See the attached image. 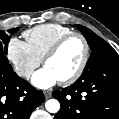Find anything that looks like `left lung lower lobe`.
<instances>
[{"label": "left lung lower lobe", "instance_id": "1", "mask_svg": "<svg viewBox=\"0 0 119 119\" xmlns=\"http://www.w3.org/2000/svg\"><path fill=\"white\" fill-rule=\"evenodd\" d=\"M52 95L61 104L55 119H119V57L93 66Z\"/></svg>", "mask_w": 119, "mask_h": 119}]
</instances>
